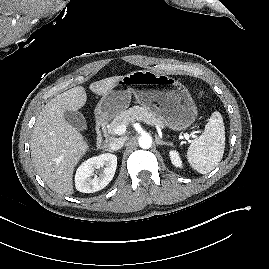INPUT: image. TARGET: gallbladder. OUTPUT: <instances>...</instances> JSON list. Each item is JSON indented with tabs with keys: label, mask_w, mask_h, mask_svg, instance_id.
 <instances>
[{
	"label": "gallbladder",
	"mask_w": 269,
	"mask_h": 269,
	"mask_svg": "<svg viewBox=\"0 0 269 269\" xmlns=\"http://www.w3.org/2000/svg\"><path fill=\"white\" fill-rule=\"evenodd\" d=\"M64 118L75 129L79 131L87 130V122L79 111H65Z\"/></svg>",
	"instance_id": "gallbladder-1"
}]
</instances>
